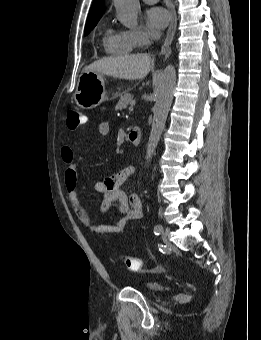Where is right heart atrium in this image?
Returning <instances> with one entry per match:
<instances>
[{"label":"right heart atrium","instance_id":"1","mask_svg":"<svg viewBox=\"0 0 261 340\" xmlns=\"http://www.w3.org/2000/svg\"><path fill=\"white\" fill-rule=\"evenodd\" d=\"M127 33L136 43L137 47L142 48V47H145L149 43V36L147 32L142 28L129 30L127 31Z\"/></svg>","mask_w":261,"mask_h":340}]
</instances>
